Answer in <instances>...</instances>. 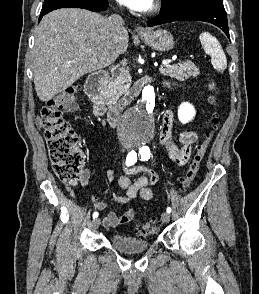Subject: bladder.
<instances>
[{
  "label": "bladder",
  "mask_w": 259,
  "mask_h": 294,
  "mask_svg": "<svg viewBox=\"0 0 259 294\" xmlns=\"http://www.w3.org/2000/svg\"><path fill=\"white\" fill-rule=\"evenodd\" d=\"M110 243L114 248L125 253L142 252L150 245L148 240L136 239L121 233L113 234Z\"/></svg>",
  "instance_id": "bladder-1"
}]
</instances>
